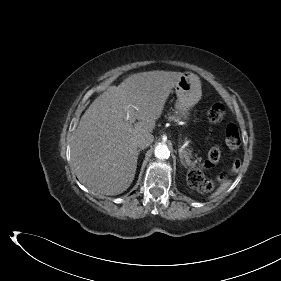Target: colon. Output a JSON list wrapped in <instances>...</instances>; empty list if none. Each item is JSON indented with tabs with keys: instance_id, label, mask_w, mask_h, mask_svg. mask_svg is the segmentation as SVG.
I'll return each mask as SVG.
<instances>
[{
	"instance_id": "1",
	"label": "colon",
	"mask_w": 281,
	"mask_h": 281,
	"mask_svg": "<svg viewBox=\"0 0 281 281\" xmlns=\"http://www.w3.org/2000/svg\"><path fill=\"white\" fill-rule=\"evenodd\" d=\"M225 117V107L224 105L217 103L209 108L207 111V119L209 122L217 124L223 121ZM225 142L230 149H238L241 145V138L239 135V130L236 125L229 124L225 131ZM221 158V150L218 146L212 147L209 152L207 159L202 163V168H210L216 165ZM241 161L236 158L233 161L230 172H237L240 168ZM226 174H222L219 180H223ZM189 182L195 188L203 191L210 192L214 189L215 183L213 181L207 180L199 169H193L189 173Z\"/></svg>"
}]
</instances>
